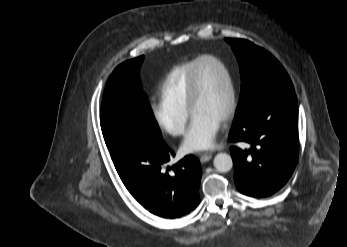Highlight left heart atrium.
I'll return each mask as SVG.
<instances>
[{
	"label": "left heart atrium",
	"mask_w": 347,
	"mask_h": 247,
	"mask_svg": "<svg viewBox=\"0 0 347 247\" xmlns=\"http://www.w3.org/2000/svg\"><path fill=\"white\" fill-rule=\"evenodd\" d=\"M220 127V119L204 114L192 115L190 126L181 145L182 152L189 154L210 148Z\"/></svg>",
	"instance_id": "39dd6f15"
}]
</instances>
